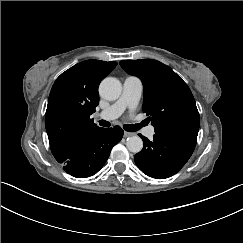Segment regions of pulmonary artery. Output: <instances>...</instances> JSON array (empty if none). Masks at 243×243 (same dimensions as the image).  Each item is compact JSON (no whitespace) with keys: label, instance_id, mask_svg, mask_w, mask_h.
Masks as SVG:
<instances>
[{"label":"pulmonary artery","instance_id":"obj_1","mask_svg":"<svg viewBox=\"0 0 243 243\" xmlns=\"http://www.w3.org/2000/svg\"><path fill=\"white\" fill-rule=\"evenodd\" d=\"M142 91L143 83L140 79L130 76L123 77L120 98L110 107L98 113L97 118L112 121L117 119L127 108H136L140 102ZM144 133L148 138L153 139L155 126L153 124L148 125Z\"/></svg>","mask_w":243,"mask_h":243}]
</instances>
